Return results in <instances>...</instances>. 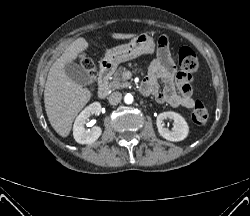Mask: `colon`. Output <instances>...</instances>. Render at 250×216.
<instances>
[{
	"label": "colon",
	"instance_id": "obj_1",
	"mask_svg": "<svg viewBox=\"0 0 250 216\" xmlns=\"http://www.w3.org/2000/svg\"><path fill=\"white\" fill-rule=\"evenodd\" d=\"M178 63L181 72L190 76L195 73L199 68V61L196 53L189 47H181L178 51ZM84 67L87 71L92 70V63L88 59L83 60ZM192 120L198 125H203L208 121L209 113L206 106L201 102L195 103L194 109L191 114Z\"/></svg>",
	"mask_w": 250,
	"mask_h": 216
}]
</instances>
